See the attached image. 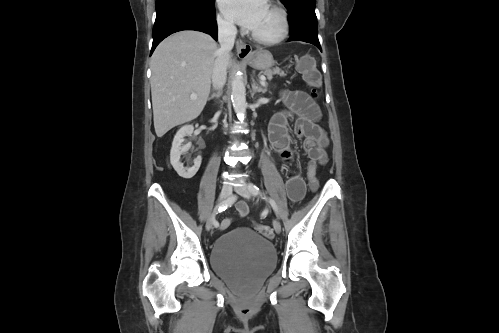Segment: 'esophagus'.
I'll return each mask as SVG.
<instances>
[{
  "label": "esophagus",
  "mask_w": 499,
  "mask_h": 333,
  "mask_svg": "<svg viewBox=\"0 0 499 333\" xmlns=\"http://www.w3.org/2000/svg\"><path fill=\"white\" fill-rule=\"evenodd\" d=\"M236 50L238 56L242 58L248 57L252 52L251 46L245 44L241 39H237L236 41Z\"/></svg>",
  "instance_id": "esophagus-1"
}]
</instances>
